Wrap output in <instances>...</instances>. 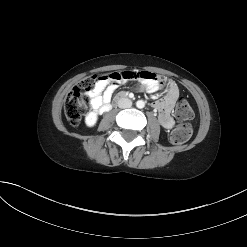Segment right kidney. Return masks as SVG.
Masks as SVG:
<instances>
[{"instance_id": "obj_1", "label": "right kidney", "mask_w": 247, "mask_h": 247, "mask_svg": "<svg viewBox=\"0 0 247 247\" xmlns=\"http://www.w3.org/2000/svg\"><path fill=\"white\" fill-rule=\"evenodd\" d=\"M98 116L94 111L89 112L85 117V123L88 127H93L97 122Z\"/></svg>"}]
</instances>
